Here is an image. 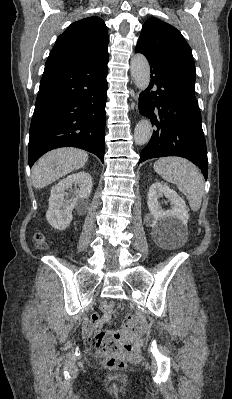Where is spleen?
<instances>
[{
    "instance_id": "1",
    "label": "spleen",
    "mask_w": 232,
    "mask_h": 399,
    "mask_svg": "<svg viewBox=\"0 0 232 399\" xmlns=\"http://www.w3.org/2000/svg\"><path fill=\"white\" fill-rule=\"evenodd\" d=\"M166 182L176 184L180 192L186 196L193 211H198L204 194V178L192 162L183 158H160L153 166Z\"/></svg>"
}]
</instances>
